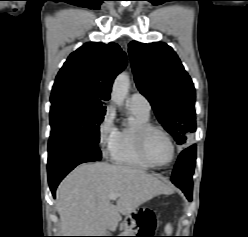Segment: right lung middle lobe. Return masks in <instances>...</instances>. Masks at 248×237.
<instances>
[{"label": "right lung middle lobe", "mask_w": 248, "mask_h": 237, "mask_svg": "<svg viewBox=\"0 0 248 237\" xmlns=\"http://www.w3.org/2000/svg\"><path fill=\"white\" fill-rule=\"evenodd\" d=\"M106 110L72 100L51 102L50 139L64 138L72 141L99 143V125Z\"/></svg>", "instance_id": "right-lung-middle-lobe-1"}]
</instances>
